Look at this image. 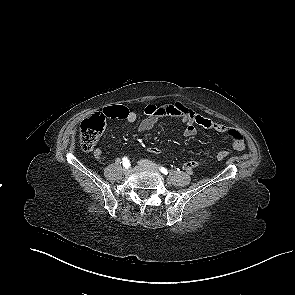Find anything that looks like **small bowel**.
<instances>
[{
    "label": "small bowel",
    "instance_id": "c3829d8e",
    "mask_svg": "<svg viewBox=\"0 0 295 295\" xmlns=\"http://www.w3.org/2000/svg\"><path fill=\"white\" fill-rule=\"evenodd\" d=\"M101 114L106 118H116L127 123H134L137 121L138 118L137 114L134 111H131L127 107L122 105L105 107L102 110ZM144 115L145 118L139 123L137 128L138 133L140 134H144L151 130L161 117H173L180 120L184 124L183 136L187 138L195 136L197 134L198 128L214 131L220 134L227 135L229 137L232 132L239 133L238 131L227 125L221 124L196 113L195 111L186 107L180 102L167 103L162 105H148L144 108ZM232 145L233 148L236 150H239V145L241 147L240 149H243L244 140L242 139L239 144L232 139ZM94 156L96 158H101L102 150L100 148H96L94 150ZM200 164V161L190 159L183 163V168L186 171H192Z\"/></svg>",
    "mask_w": 295,
    "mask_h": 295
}]
</instances>
